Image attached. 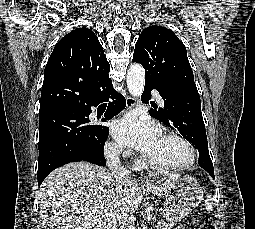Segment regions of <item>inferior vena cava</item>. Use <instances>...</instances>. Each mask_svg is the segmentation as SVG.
<instances>
[{
	"label": "inferior vena cava",
	"instance_id": "602c4592",
	"mask_svg": "<svg viewBox=\"0 0 255 229\" xmlns=\"http://www.w3.org/2000/svg\"><path fill=\"white\" fill-rule=\"evenodd\" d=\"M121 152L122 148L120 147L110 149L106 153L107 165L115 178L129 179L131 178V172L120 163ZM119 225L120 229H135L132 215L122 220Z\"/></svg>",
	"mask_w": 255,
	"mask_h": 229
}]
</instances>
